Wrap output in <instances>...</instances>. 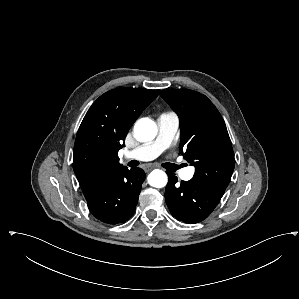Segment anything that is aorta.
I'll use <instances>...</instances> for the list:
<instances>
[{
    "instance_id": "obj_1",
    "label": "aorta",
    "mask_w": 299,
    "mask_h": 299,
    "mask_svg": "<svg viewBox=\"0 0 299 299\" xmlns=\"http://www.w3.org/2000/svg\"><path fill=\"white\" fill-rule=\"evenodd\" d=\"M157 135V126L148 118L138 120L134 125V136L138 141L147 142L153 140ZM148 184L155 188H162L167 184L168 177L162 170H153L148 175Z\"/></svg>"
}]
</instances>
